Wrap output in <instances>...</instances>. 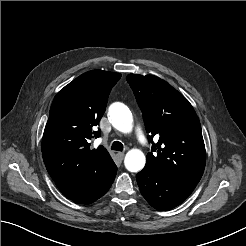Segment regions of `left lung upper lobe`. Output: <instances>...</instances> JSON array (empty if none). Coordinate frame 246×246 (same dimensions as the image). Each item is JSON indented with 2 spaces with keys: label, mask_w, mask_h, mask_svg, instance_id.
<instances>
[{
  "label": "left lung upper lobe",
  "mask_w": 246,
  "mask_h": 246,
  "mask_svg": "<svg viewBox=\"0 0 246 246\" xmlns=\"http://www.w3.org/2000/svg\"><path fill=\"white\" fill-rule=\"evenodd\" d=\"M127 81L142 111L149 141L159 137L144 169L199 182L206 151L199 119L189 101L156 76L129 74Z\"/></svg>",
  "instance_id": "5c2ea615"
}]
</instances>
